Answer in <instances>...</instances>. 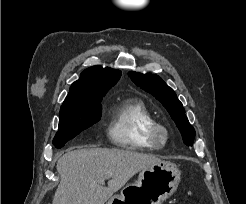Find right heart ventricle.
Here are the masks:
<instances>
[{
    "label": "right heart ventricle",
    "instance_id": "right-heart-ventricle-1",
    "mask_svg": "<svg viewBox=\"0 0 246 204\" xmlns=\"http://www.w3.org/2000/svg\"><path fill=\"white\" fill-rule=\"evenodd\" d=\"M156 121L147 105L139 99H126L116 104L107 127L109 141L128 150L158 149L147 138L148 129Z\"/></svg>",
    "mask_w": 246,
    "mask_h": 204
}]
</instances>
